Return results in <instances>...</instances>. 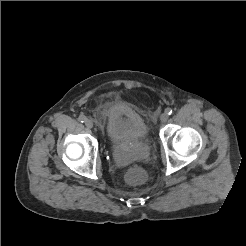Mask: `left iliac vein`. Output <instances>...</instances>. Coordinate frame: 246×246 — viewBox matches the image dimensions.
<instances>
[{
  "label": "left iliac vein",
  "instance_id": "left-iliac-vein-1",
  "mask_svg": "<svg viewBox=\"0 0 246 246\" xmlns=\"http://www.w3.org/2000/svg\"><path fill=\"white\" fill-rule=\"evenodd\" d=\"M160 120L161 122H166L168 120V114L166 112L162 113L160 116Z\"/></svg>",
  "mask_w": 246,
  "mask_h": 246
}]
</instances>
